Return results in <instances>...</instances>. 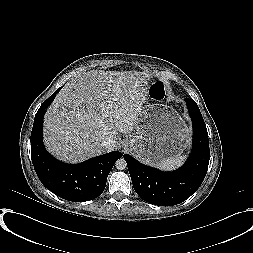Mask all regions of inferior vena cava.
Returning a JSON list of instances; mask_svg holds the SVG:
<instances>
[{
    "mask_svg": "<svg viewBox=\"0 0 253 253\" xmlns=\"http://www.w3.org/2000/svg\"><path fill=\"white\" fill-rule=\"evenodd\" d=\"M113 142L114 141L111 138L106 137L102 141V146H104L105 148H108V147H110L113 144Z\"/></svg>",
    "mask_w": 253,
    "mask_h": 253,
    "instance_id": "inferior-vena-cava-1",
    "label": "inferior vena cava"
}]
</instances>
